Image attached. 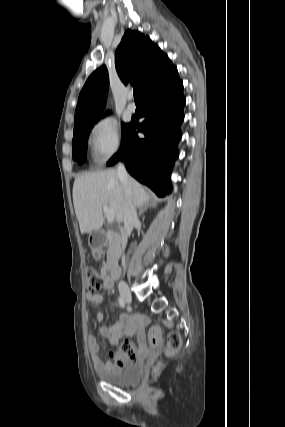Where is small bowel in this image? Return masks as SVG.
Here are the masks:
<instances>
[{
    "label": "small bowel",
    "mask_w": 285,
    "mask_h": 427,
    "mask_svg": "<svg viewBox=\"0 0 285 427\" xmlns=\"http://www.w3.org/2000/svg\"><path fill=\"white\" fill-rule=\"evenodd\" d=\"M101 278L103 282V287L105 289H109L112 287V281H104L103 268L101 271ZM87 300L92 305H99L103 301V296L99 293H88ZM101 320L102 314L98 312L96 314V321L99 322ZM146 324L147 318L142 315L122 313L118 320L111 322L108 326L99 327L97 329V333L101 337L106 338L113 345H118L121 339H126L132 336L133 334H136L138 339V351L137 356L134 360L127 359L123 355L122 351H119L116 353H110V355L114 357V362H103L99 355L100 348L98 343L96 342V339L93 336H89L88 343L95 369L97 371H102L105 369L115 370L127 365L129 362L138 361L142 359L148 352L146 338L144 334V327Z\"/></svg>",
    "instance_id": "obj_1"
}]
</instances>
